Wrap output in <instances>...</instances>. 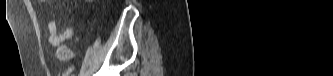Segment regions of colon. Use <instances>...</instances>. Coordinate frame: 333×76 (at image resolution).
I'll return each mask as SVG.
<instances>
[{
    "label": "colon",
    "instance_id": "1",
    "mask_svg": "<svg viewBox=\"0 0 333 76\" xmlns=\"http://www.w3.org/2000/svg\"><path fill=\"white\" fill-rule=\"evenodd\" d=\"M73 56V53L70 48L67 46H60L57 49V57L62 61L70 60Z\"/></svg>",
    "mask_w": 333,
    "mask_h": 76
}]
</instances>
